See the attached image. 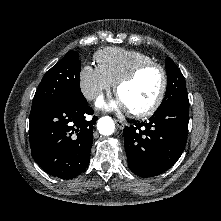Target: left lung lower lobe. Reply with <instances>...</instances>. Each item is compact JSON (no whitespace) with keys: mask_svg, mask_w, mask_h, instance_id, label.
<instances>
[{"mask_svg":"<svg viewBox=\"0 0 221 221\" xmlns=\"http://www.w3.org/2000/svg\"><path fill=\"white\" fill-rule=\"evenodd\" d=\"M188 114L189 100L182 98L148 121L124 128L128 167L134 174L153 177L177 162L186 145Z\"/></svg>","mask_w":221,"mask_h":221,"instance_id":"obj_1","label":"left lung lower lobe"}]
</instances>
